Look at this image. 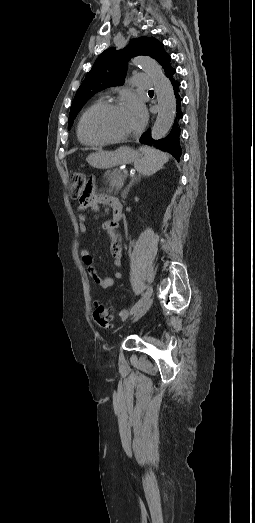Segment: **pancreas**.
I'll use <instances>...</instances> for the list:
<instances>
[{"instance_id":"1","label":"pancreas","mask_w":255,"mask_h":523,"mask_svg":"<svg viewBox=\"0 0 255 523\" xmlns=\"http://www.w3.org/2000/svg\"><path fill=\"white\" fill-rule=\"evenodd\" d=\"M104 178H107L109 184L108 192L118 194L119 190L124 186L127 176L123 174L122 170H112V172H105Z\"/></svg>"}]
</instances>
